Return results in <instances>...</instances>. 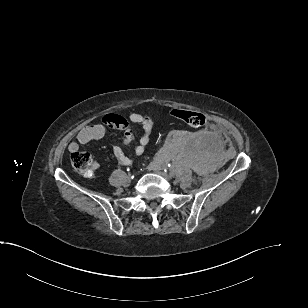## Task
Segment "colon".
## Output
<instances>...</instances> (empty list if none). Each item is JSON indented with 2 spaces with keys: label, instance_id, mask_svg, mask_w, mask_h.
I'll return each instance as SVG.
<instances>
[{
  "label": "colon",
  "instance_id": "5ec220e1",
  "mask_svg": "<svg viewBox=\"0 0 308 308\" xmlns=\"http://www.w3.org/2000/svg\"><path fill=\"white\" fill-rule=\"evenodd\" d=\"M171 115L190 127H201L206 118L203 114L195 111L173 109ZM71 164L73 168L84 176H91L94 172L92 157L86 151H74L71 153Z\"/></svg>",
  "mask_w": 308,
  "mask_h": 308
}]
</instances>
